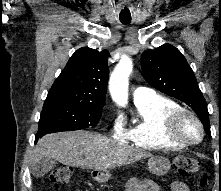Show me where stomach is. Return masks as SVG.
<instances>
[{"label": "stomach", "instance_id": "1", "mask_svg": "<svg viewBox=\"0 0 221 191\" xmlns=\"http://www.w3.org/2000/svg\"><path fill=\"white\" fill-rule=\"evenodd\" d=\"M147 164L149 171L157 176L165 175L171 166L167 158L159 156L149 158ZM92 174L94 179L100 183L108 182L111 178V174L108 170H94Z\"/></svg>", "mask_w": 221, "mask_h": 191}]
</instances>
